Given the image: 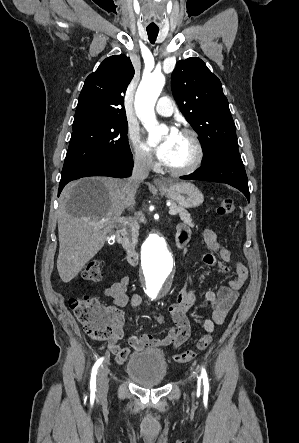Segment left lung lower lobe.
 <instances>
[{
	"label": "left lung lower lobe",
	"mask_w": 299,
	"mask_h": 443,
	"mask_svg": "<svg viewBox=\"0 0 299 443\" xmlns=\"http://www.w3.org/2000/svg\"><path fill=\"white\" fill-rule=\"evenodd\" d=\"M185 180H205L227 183L239 189L250 202L248 179L242 162L217 160L202 165L194 173L180 177Z\"/></svg>",
	"instance_id": "0a47b994"
}]
</instances>
